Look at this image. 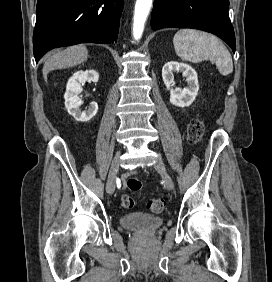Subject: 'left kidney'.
<instances>
[{
    "mask_svg": "<svg viewBox=\"0 0 272 282\" xmlns=\"http://www.w3.org/2000/svg\"><path fill=\"white\" fill-rule=\"evenodd\" d=\"M175 72H181L186 77L187 86L182 90L172 88ZM162 78L165 86L170 91L171 104L178 107H187L193 103L198 94L199 84L197 73L191 66L176 61L167 62L162 68Z\"/></svg>",
    "mask_w": 272,
    "mask_h": 282,
    "instance_id": "5707ae66",
    "label": "left kidney"
}]
</instances>
